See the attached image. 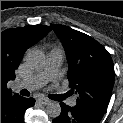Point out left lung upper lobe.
<instances>
[{
  "label": "left lung upper lobe",
  "mask_w": 123,
  "mask_h": 123,
  "mask_svg": "<svg viewBox=\"0 0 123 123\" xmlns=\"http://www.w3.org/2000/svg\"><path fill=\"white\" fill-rule=\"evenodd\" d=\"M52 28L67 52L69 87L79 95L76 106L103 116L115 77L111 55L82 32L58 24H52Z\"/></svg>",
  "instance_id": "obj_1"
}]
</instances>
